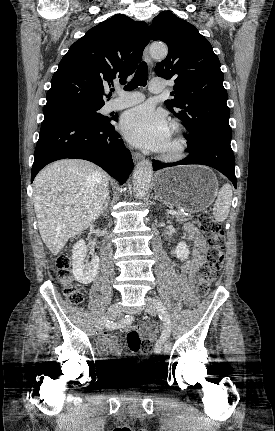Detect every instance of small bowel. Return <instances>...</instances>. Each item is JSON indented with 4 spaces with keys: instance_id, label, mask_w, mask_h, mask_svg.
Returning <instances> with one entry per match:
<instances>
[{
    "instance_id": "c3829d8e",
    "label": "small bowel",
    "mask_w": 275,
    "mask_h": 431,
    "mask_svg": "<svg viewBox=\"0 0 275 431\" xmlns=\"http://www.w3.org/2000/svg\"><path fill=\"white\" fill-rule=\"evenodd\" d=\"M187 239L192 244L193 256L190 260L182 263L177 272L176 277L180 284L181 296L187 305H194L197 302V297L194 294V284L196 274L203 263V255L205 250V239L202 233L193 224L185 226ZM172 254H175L174 251ZM141 337L145 341H153L155 333L153 325L150 322H145L139 326ZM100 354L110 352L114 356L121 355V348L118 344V338L114 334L104 333L98 343Z\"/></svg>"
}]
</instances>
